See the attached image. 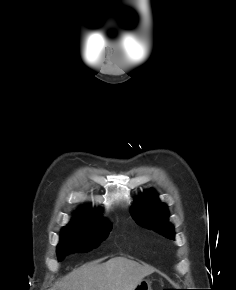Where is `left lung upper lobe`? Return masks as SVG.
<instances>
[{"instance_id":"left-lung-upper-lobe-1","label":"left lung upper lobe","mask_w":236,"mask_h":290,"mask_svg":"<svg viewBox=\"0 0 236 290\" xmlns=\"http://www.w3.org/2000/svg\"><path fill=\"white\" fill-rule=\"evenodd\" d=\"M132 215L138 224L174 239L173 226L168 223L167 208L158 200L153 190H148L140 196L132 209Z\"/></svg>"}]
</instances>
